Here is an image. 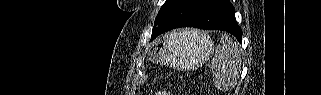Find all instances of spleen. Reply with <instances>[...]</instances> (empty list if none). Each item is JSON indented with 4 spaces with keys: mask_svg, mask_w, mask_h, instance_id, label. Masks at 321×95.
<instances>
[{
    "mask_svg": "<svg viewBox=\"0 0 321 95\" xmlns=\"http://www.w3.org/2000/svg\"><path fill=\"white\" fill-rule=\"evenodd\" d=\"M240 65L241 55L237 42L227 34L222 35L220 44L211 61L215 87L226 91L234 88Z\"/></svg>",
    "mask_w": 321,
    "mask_h": 95,
    "instance_id": "spleen-1",
    "label": "spleen"
}]
</instances>
